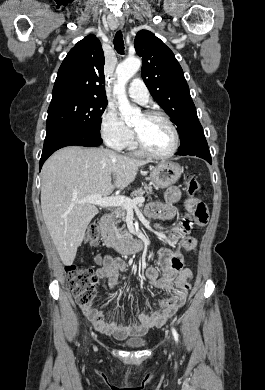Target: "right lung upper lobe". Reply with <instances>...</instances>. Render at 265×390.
<instances>
[{
  "label": "right lung upper lobe",
  "instance_id": "1",
  "mask_svg": "<svg viewBox=\"0 0 265 390\" xmlns=\"http://www.w3.org/2000/svg\"><path fill=\"white\" fill-rule=\"evenodd\" d=\"M104 54L95 35L79 41L63 60L52 91V100L64 97H92L107 100Z\"/></svg>",
  "mask_w": 265,
  "mask_h": 390
}]
</instances>
